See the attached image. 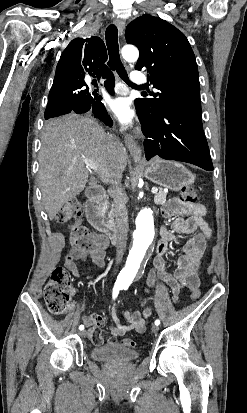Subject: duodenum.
<instances>
[{
  "label": "duodenum",
  "mask_w": 247,
  "mask_h": 413,
  "mask_svg": "<svg viewBox=\"0 0 247 413\" xmlns=\"http://www.w3.org/2000/svg\"><path fill=\"white\" fill-rule=\"evenodd\" d=\"M107 203V191L103 186L97 185L89 190L86 203V218L89 223L113 243H117L118 236L114 227L106 221L103 210Z\"/></svg>",
  "instance_id": "410a0bca"
}]
</instances>
